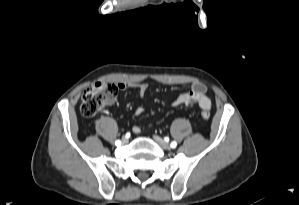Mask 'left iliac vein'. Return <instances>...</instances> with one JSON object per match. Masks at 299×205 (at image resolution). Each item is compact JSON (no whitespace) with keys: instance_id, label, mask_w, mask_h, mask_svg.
<instances>
[{"instance_id":"obj_1","label":"left iliac vein","mask_w":299,"mask_h":205,"mask_svg":"<svg viewBox=\"0 0 299 205\" xmlns=\"http://www.w3.org/2000/svg\"><path fill=\"white\" fill-rule=\"evenodd\" d=\"M155 142L162 148V149H170V145L163 140L161 137L159 136H153Z\"/></svg>"}]
</instances>
